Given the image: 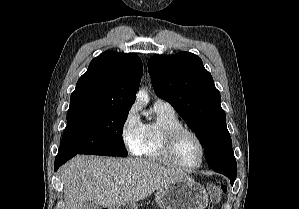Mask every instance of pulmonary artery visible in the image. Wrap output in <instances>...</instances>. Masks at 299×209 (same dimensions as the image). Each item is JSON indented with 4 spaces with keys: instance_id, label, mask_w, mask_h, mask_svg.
I'll return each instance as SVG.
<instances>
[{
    "instance_id": "1",
    "label": "pulmonary artery",
    "mask_w": 299,
    "mask_h": 209,
    "mask_svg": "<svg viewBox=\"0 0 299 209\" xmlns=\"http://www.w3.org/2000/svg\"><path fill=\"white\" fill-rule=\"evenodd\" d=\"M154 106L170 112H175L173 107L163 99H156Z\"/></svg>"
}]
</instances>
